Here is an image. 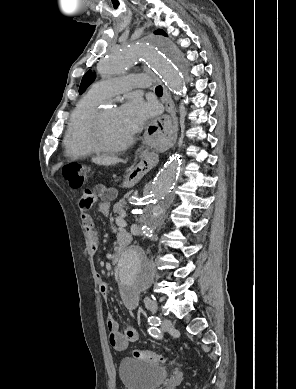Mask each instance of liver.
Returning a JSON list of instances; mask_svg holds the SVG:
<instances>
[{
  "label": "liver",
  "mask_w": 296,
  "mask_h": 389,
  "mask_svg": "<svg viewBox=\"0 0 296 389\" xmlns=\"http://www.w3.org/2000/svg\"><path fill=\"white\" fill-rule=\"evenodd\" d=\"M93 163L98 165H114L120 162H123V160L116 158V157H106V156H99V157H93L91 160Z\"/></svg>",
  "instance_id": "1"
}]
</instances>
